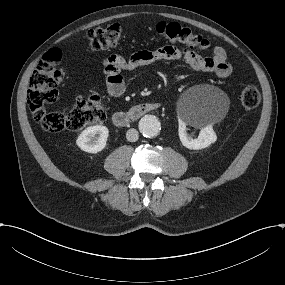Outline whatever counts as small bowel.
Here are the masks:
<instances>
[{"instance_id": "obj_1", "label": "small bowel", "mask_w": 285, "mask_h": 285, "mask_svg": "<svg viewBox=\"0 0 285 285\" xmlns=\"http://www.w3.org/2000/svg\"><path fill=\"white\" fill-rule=\"evenodd\" d=\"M184 61L196 71L210 72L218 78H227L232 73V65L227 61L226 50L222 46L213 49L211 57H203L189 47L178 48L171 45L154 50H139L125 59L111 55L103 61L102 74L108 94L118 97L124 92L123 71H131L158 61Z\"/></svg>"}]
</instances>
